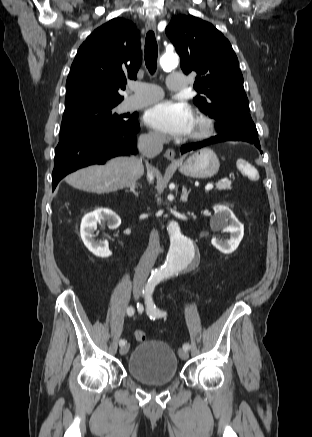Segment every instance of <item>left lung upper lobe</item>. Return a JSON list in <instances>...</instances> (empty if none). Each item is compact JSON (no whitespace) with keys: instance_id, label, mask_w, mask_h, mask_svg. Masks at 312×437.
<instances>
[{"instance_id":"5c2ea615","label":"left lung upper lobe","mask_w":312,"mask_h":437,"mask_svg":"<svg viewBox=\"0 0 312 437\" xmlns=\"http://www.w3.org/2000/svg\"><path fill=\"white\" fill-rule=\"evenodd\" d=\"M166 34L180 55L183 72L196 74L194 88L199 94L193 102L218 121L221 134L259 142L238 59L224 35L191 15L172 17Z\"/></svg>"}]
</instances>
